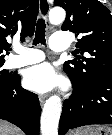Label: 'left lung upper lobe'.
<instances>
[{"instance_id":"left-lung-upper-lobe-1","label":"left lung upper lobe","mask_w":112,"mask_h":135,"mask_svg":"<svg viewBox=\"0 0 112 135\" xmlns=\"http://www.w3.org/2000/svg\"><path fill=\"white\" fill-rule=\"evenodd\" d=\"M66 10L62 30L80 36L74 53L77 59L64 63V70L80 84L112 75V16L98 0H55ZM88 52L89 57L83 53Z\"/></svg>"}]
</instances>
